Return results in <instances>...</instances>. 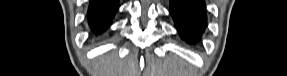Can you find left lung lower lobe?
Instances as JSON below:
<instances>
[{"label":"left lung lower lobe","mask_w":287,"mask_h":76,"mask_svg":"<svg viewBox=\"0 0 287 76\" xmlns=\"http://www.w3.org/2000/svg\"><path fill=\"white\" fill-rule=\"evenodd\" d=\"M170 13L184 40L194 43L200 39L206 26L204 0H170Z\"/></svg>","instance_id":"1"}]
</instances>
